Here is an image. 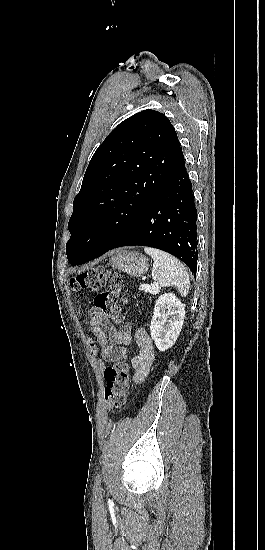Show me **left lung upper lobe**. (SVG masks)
Returning a JSON list of instances; mask_svg holds the SVG:
<instances>
[{"instance_id": "1", "label": "left lung upper lobe", "mask_w": 265, "mask_h": 550, "mask_svg": "<svg viewBox=\"0 0 265 550\" xmlns=\"http://www.w3.org/2000/svg\"><path fill=\"white\" fill-rule=\"evenodd\" d=\"M184 161L168 118L144 110L120 123L97 148L73 202L66 254L71 265L109 248Z\"/></svg>"}]
</instances>
